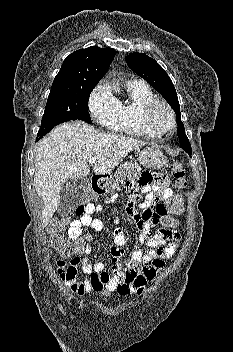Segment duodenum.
<instances>
[{"label": "duodenum", "instance_id": "duodenum-1", "mask_svg": "<svg viewBox=\"0 0 233 352\" xmlns=\"http://www.w3.org/2000/svg\"><path fill=\"white\" fill-rule=\"evenodd\" d=\"M104 180L101 176H93L91 179V190L95 194L103 193Z\"/></svg>", "mask_w": 233, "mask_h": 352}]
</instances>
